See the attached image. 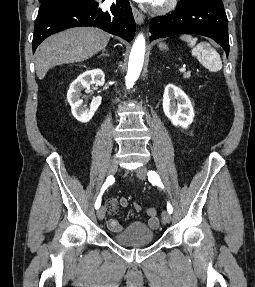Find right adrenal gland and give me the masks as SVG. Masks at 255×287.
<instances>
[{"instance_id":"2a0ac1e0","label":"right adrenal gland","mask_w":255,"mask_h":287,"mask_svg":"<svg viewBox=\"0 0 255 287\" xmlns=\"http://www.w3.org/2000/svg\"><path fill=\"white\" fill-rule=\"evenodd\" d=\"M101 56H109V54H106L105 50H103ZM101 56H97V58H101Z\"/></svg>"}]
</instances>
